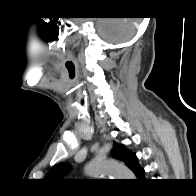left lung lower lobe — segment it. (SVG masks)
Here are the masks:
<instances>
[{"instance_id":"0a47b994","label":"left lung lower lobe","mask_w":196,"mask_h":196,"mask_svg":"<svg viewBox=\"0 0 196 196\" xmlns=\"http://www.w3.org/2000/svg\"><path fill=\"white\" fill-rule=\"evenodd\" d=\"M132 171L134 172V174L137 177V180H142L144 179V169L141 168L137 162V157L134 160V164L132 167Z\"/></svg>"}]
</instances>
